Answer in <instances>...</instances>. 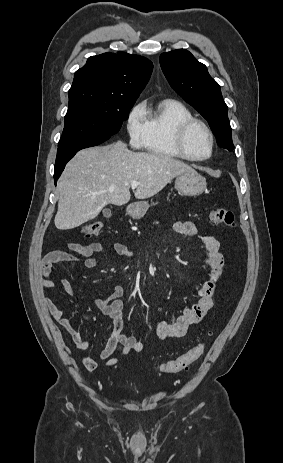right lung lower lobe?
Instances as JSON below:
<instances>
[{
	"label": "right lung lower lobe",
	"instance_id": "obj_1",
	"mask_svg": "<svg viewBox=\"0 0 283 463\" xmlns=\"http://www.w3.org/2000/svg\"><path fill=\"white\" fill-rule=\"evenodd\" d=\"M106 140H93L74 143L68 146L58 147L56 163L54 167L55 184L65 168L66 163L81 149L96 146Z\"/></svg>",
	"mask_w": 283,
	"mask_h": 463
}]
</instances>
